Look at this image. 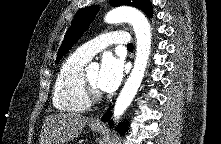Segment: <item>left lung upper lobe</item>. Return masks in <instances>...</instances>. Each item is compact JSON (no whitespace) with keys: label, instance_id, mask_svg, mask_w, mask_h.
<instances>
[{"label":"left lung upper lobe","instance_id":"obj_1","mask_svg":"<svg viewBox=\"0 0 221 144\" xmlns=\"http://www.w3.org/2000/svg\"><path fill=\"white\" fill-rule=\"evenodd\" d=\"M110 4L112 6L128 5L137 7L138 9L144 11L150 18L153 15L151 3L149 0H110ZM98 10L99 6L93 5L81 9L75 15L71 26L69 27L64 37V41L62 42V45L58 51L56 63H58L60 59L65 55V53H67L71 49L72 45L80 39V37L89 27Z\"/></svg>","mask_w":221,"mask_h":144}]
</instances>
